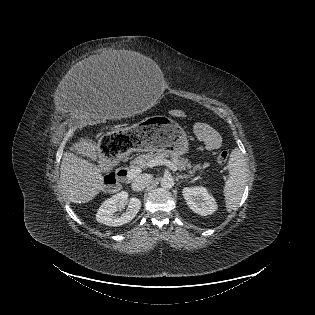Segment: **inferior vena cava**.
Listing matches in <instances>:
<instances>
[{
  "label": "inferior vena cava",
  "mask_w": 315,
  "mask_h": 315,
  "mask_svg": "<svg viewBox=\"0 0 315 315\" xmlns=\"http://www.w3.org/2000/svg\"><path fill=\"white\" fill-rule=\"evenodd\" d=\"M152 181V176L149 174H141L140 176L136 177L132 181V189L134 191H142L144 190Z\"/></svg>",
  "instance_id": "obj_1"
}]
</instances>
